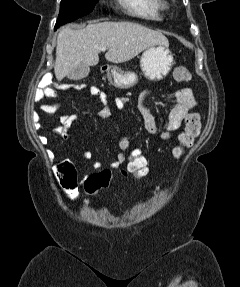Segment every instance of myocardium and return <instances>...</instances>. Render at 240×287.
Segmentation results:
<instances>
[{"label": "myocardium", "mask_w": 240, "mask_h": 287, "mask_svg": "<svg viewBox=\"0 0 240 287\" xmlns=\"http://www.w3.org/2000/svg\"><path fill=\"white\" fill-rule=\"evenodd\" d=\"M162 8H168V4L162 0Z\"/></svg>", "instance_id": "myocardium-1"}]
</instances>
